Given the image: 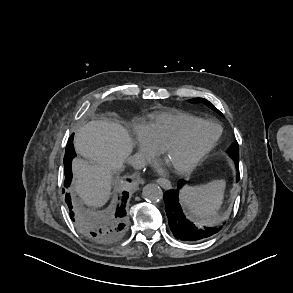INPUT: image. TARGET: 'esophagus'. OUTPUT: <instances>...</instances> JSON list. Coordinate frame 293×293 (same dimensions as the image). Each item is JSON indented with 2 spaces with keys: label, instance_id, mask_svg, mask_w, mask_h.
Returning <instances> with one entry per match:
<instances>
[{
  "label": "esophagus",
  "instance_id": "esophagus-1",
  "mask_svg": "<svg viewBox=\"0 0 293 293\" xmlns=\"http://www.w3.org/2000/svg\"><path fill=\"white\" fill-rule=\"evenodd\" d=\"M137 179H138V181H139L141 184L144 183V180H143L142 178L138 177ZM156 182H157L159 185L163 186V187H166V186H169V185H170V182H169L168 180H166V179H163V178H159V179H157Z\"/></svg>",
  "mask_w": 293,
  "mask_h": 293
}]
</instances>
